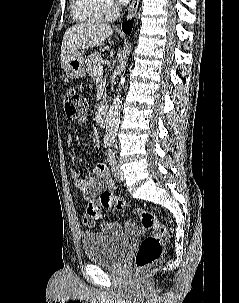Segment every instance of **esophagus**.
<instances>
[{
    "label": "esophagus",
    "mask_w": 239,
    "mask_h": 303,
    "mask_svg": "<svg viewBox=\"0 0 239 303\" xmlns=\"http://www.w3.org/2000/svg\"><path fill=\"white\" fill-rule=\"evenodd\" d=\"M139 2H140V0H132L131 4L129 6V9H128V15H127L128 20H130L134 17V15L138 9Z\"/></svg>",
    "instance_id": "1"
}]
</instances>
